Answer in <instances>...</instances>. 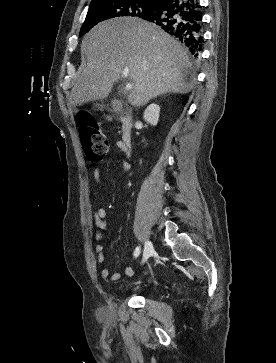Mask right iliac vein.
<instances>
[{"instance_id":"right-iliac-vein-1","label":"right iliac vein","mask_w":276,"mask_h":363,"mask_svg":"<svg viewBox=\"0 0 276 363\" xmlns=\"http://www.w3.org/2000/svg\"><path fill=\"white\" fill-rule=\"evenodd\" d=\"M154 253V247L151 241L147 240L144 246L143 261H146Z\"/></svg>"}]
</instances>
